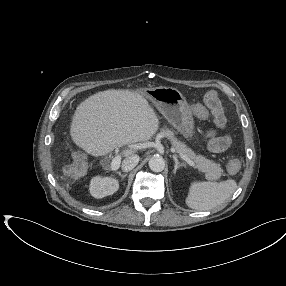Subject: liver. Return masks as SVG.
<instances>
[{"mask_svg": "<svg viewBox=\"0 0 286 286\" xmlns=\"http://www.w3.org/2000/svg\"><path fill=\"white\" fill-rule=\"evenodd\" d=\"M158 128L157 114L141 93L108 89L89 96L77 106L70 135L88 154L104 156L115 148L151 139ZM134 152L124 150L123 156Z\"/></svg>", "mask_w": 286, "mask_h": 286, "instance_id": "6515ba94", "label": "liver"}]
</instances>
